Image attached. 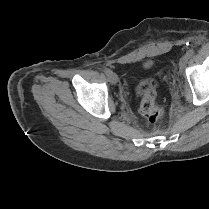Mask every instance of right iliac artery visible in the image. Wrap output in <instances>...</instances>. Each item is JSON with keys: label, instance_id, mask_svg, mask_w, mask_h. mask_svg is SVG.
Masks as SVG:
<instances>
[{"label": "right iliac artery", "instance_id": "1", "mask_svg": "<svg viewBox=\"0 0 209 209\" xmlns=\"http://www.w3.org/2000/svg\"><path fill=\"white\" fill-rule=\"evenodd\" d=\"M111 72H112V71H111L110 69H107V68L104 69V73H105L107 76H109V74H110Z\"/></svg>", "mask_w": 209, "mask_h": 209}]
</instances>
